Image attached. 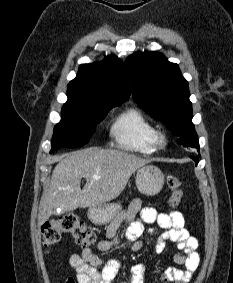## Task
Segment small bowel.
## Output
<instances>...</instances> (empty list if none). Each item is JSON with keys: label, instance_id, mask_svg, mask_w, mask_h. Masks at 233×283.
Returning a JSON list of instances; mask_svg holds the SVG:
<instances>
[{"label": "small bowel", "instance_id": "small-bowel-1", "mask_svg": "<svg viewBox=\"0 0 233 283\" xmlns=\"http://www.w3.org/2000/svg\"><path fill=\"white\" fill-rule=\"evenodd\" d=\"M137 214L140 215L139 220H135ZM143 222H155L163 231L157 234L155 229L145 230ZM121 224L124 228L117 234ZM146 235L156 237L157 253L163 252L166 242L175 243L180 251L175 256V261L182 264L184 269L167 268L162 275L163 283H187L197 270L200 257L197 252L198 240L185 229V219L179 211L163 213L150 207L142 208L141 200L134 199L110 224L105 232V238L98 242L97 248L103 252L109 251L124 239L129 243L130 251L136 252L143 247ZM69 263L76 272L78 283H111L119 268L117 260H104L89 248H84L79 254L71 255ZM142 273V265L135 264L131 267L129 279L122 283H143Z\"/></svg>", "mask_w": 233, "mask_h": 283}]
</instances>
